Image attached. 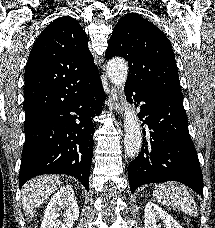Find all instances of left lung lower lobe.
Instances as JSON below:
<instances>
[{"label":"left lung lower lobe","instance_id":"obj_1","mask_svg":"<svg viewBox=\"0 0 215 228\" xmlns=\"http://www.w3.org/2000/svg\"><path fill=\"white\" fill-rule=\"evenodd\" d=\"M125 92L130 102L141 104L138 116L150 134L128 167L131 192L144 184L175 180L202 196V171L188 131L183 94L147 91L130 85L125 86Z\"/></svg>","mask_w":215,"mask_h":228}]
</instances>
